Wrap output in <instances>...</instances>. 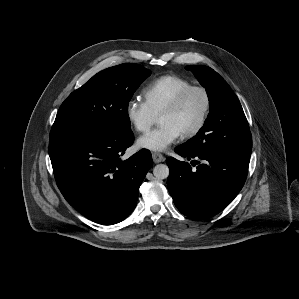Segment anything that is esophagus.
<instances>
[{"label": "esophagus", "instance_id": "1", "mask_svg": "<svg viewBox=\"0 0 299 299\" xmlns=\"http://www.w3.org/2000/svg\"><path fill=\"white\" fill-rule=\"evenodd\" d=\"M152 157L155 163H160L165 160V157L161 153H157V152L152 153Z\"/></svg>", "mask_w": 299, "mask_h": 299}]
</instances>
